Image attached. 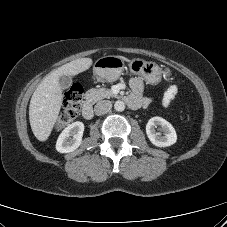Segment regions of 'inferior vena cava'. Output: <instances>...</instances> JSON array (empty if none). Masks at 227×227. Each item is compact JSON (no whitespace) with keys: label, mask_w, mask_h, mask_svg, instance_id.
<instances>
[{"label":"inferior vena cava","mask_w":227,"mask_h":227,"mask_svg":"<svg viewBox=\"0 0 227 227\" xmlns=\"http://www.w3.org/2000/svg\"><path fill=\"white\" fill-rule=\"evenodd\" d=\"M112 108V103L109 100H103V101H99L95 107H94V111L95 114L100 116V115H104L107 112H109Z\"/></svg>","instance_id":"inferior-vena-cava-1"}]
</instances>
